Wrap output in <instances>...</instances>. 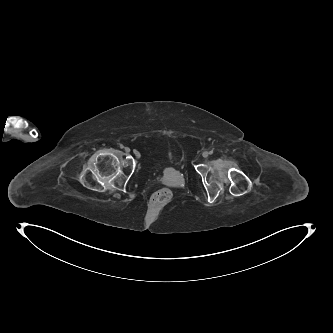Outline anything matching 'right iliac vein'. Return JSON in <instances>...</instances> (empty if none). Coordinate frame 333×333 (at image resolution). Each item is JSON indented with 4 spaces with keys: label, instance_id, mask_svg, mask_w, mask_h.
I'll return each mask as SVG.
<instances>
[{
    "label": "right iliac vein",
    "instance_id": "63e3f726",
    "mask_svg": "<svg viewBox=\"0 0 333 333\" xmlns=\"http://www.w3.org/2000/svg\"><path fill=\"white\" fill-rule=\"evenodd\" d=\"M125 151L129 153L130 152V148L126 147ZM134 155H135L136 158L140 157V153L137 150H134Z\"/></svg>",
    "mask_w": 333,
    "mask_h": 333
}]
</instances>
